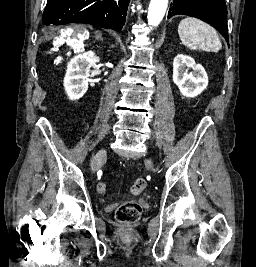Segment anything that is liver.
Wrapping results in <instances>:
<instances>
[{
  "mask_svg": "<svg viewBox=\"0 0 256 267\" xmlns=\"http://www.w3.org/2000/svg\"><path fill=\"white\" fill-rule=\"evenodd\" d=\"M77 32H87L86 28H78Z\"/></svg>",
  "mask_w": 256,
  "mask_h": 267,
  "instance_id": "1",
  "label": "liver"
}]
</instances>
